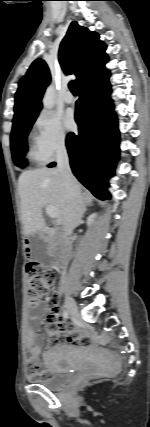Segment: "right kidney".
Returning <instances> with one entry per match:
<instances>
[{
    "mask_svg": "<svg viewBox=\"0 0 150 427\" xmlns=\"http://www.w3.org/2000/svg\"><path fill=\"white\" fill-rule=\"evenodd\" d=\"M96 213L91 214L88 218H87V225L90 226L92 225V223L94 222V219L96 217Z\"/></svg>",
    "mask_w": 150,
    "mask_h": 427,
    "instance_id": "obj_1",
    "label": "right kidney"
}]
</instances>
